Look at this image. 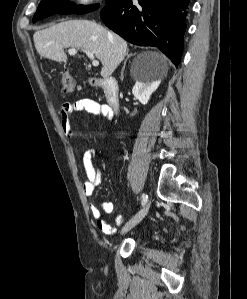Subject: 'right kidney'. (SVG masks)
Segmentation results:
<instances>
[{
	"instance_id": "obj_1",
	"label": "right kidney",
	"mask_w": 247,
	"mask_h": 299,
	"mask_svg": "<svg viewBox=\"0 0 247 299\" xmlns=\"http://www.w3.org/2000/svg\"><path fill=\"white\" fill-rule=\"evenodd\" d=\"M160 81L136 80L132 93L141 104L146 105L154 91L158 88Z\"/></svg>"
}]
</instances>
